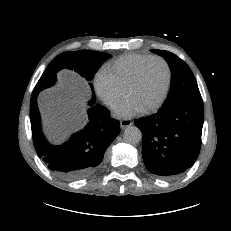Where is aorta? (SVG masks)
Returning a JSON list of instances; mask_svg holds the SVG:
<instances>
[{
  "mask_svg": "<svg viewBox=\"0 0 231 231\" xmlns=\"http://www.w3.org/2000/svg\"><path fill=\"white\" fill-rule=\"evenodd\" d=\"M123 139L128 144H137L142 139V133L136 126H128L123 133Z\"/></svg>",
  "mask_w": 231,
  "mask_h": 231,
  "instance_id": "obj_1",
  "label": "aorta"
}]
</instances>
